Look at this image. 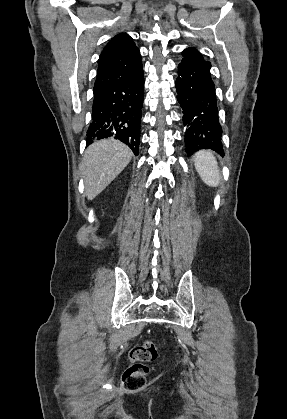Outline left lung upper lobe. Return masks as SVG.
<instances>
[{
  "mask_svg": "<svg viewBox=\"0 0 287 419\" xmlns=\"http://www.w3.org/2000/svg\"><path fill=\"white\" fill-rule=\"evenodd\" d=\"M183 56H184V58H188V59L204 61L201 54L193 48H188V49L184 50L183 51Z\"/></svg>",
  "mask_w": 287,
  "mask_h": 419,
  "instance_id": "1",
  "label": "left lung upper lobe"
}]
</instances>
